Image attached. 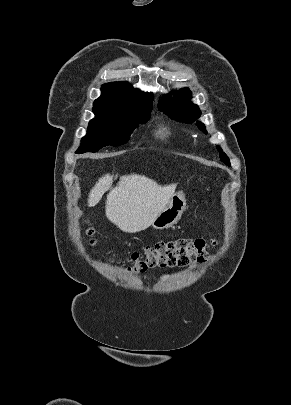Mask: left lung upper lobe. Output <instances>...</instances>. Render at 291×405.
<instances>
[{
  "label": "left lung upper lobe",
  "mask_w": 291,
  "mask_h": 405,
  "mask_svg": "<svg viewBox=\"0 0 291 405\" xmlns=\"http://www.w3.org/2000/svg\"><path fill=\"white\" fill-rule=\"evenodd\" d=\"M190 98L191 92L187 88L177 91L173 97H171V94H167L162 98L163 104L159 105V110L177 121L192 123L200 117L201 113L198 106L189 101ZM197 125L202 131L207 133L205 126L201 122L197 123ZM217 149L220 152L219 156L221 161L230 166L227 155L219 146H217Z\"/></svg>",
  "instance_id": "left-lung-upper-lobe-1"
}]
</instances>
